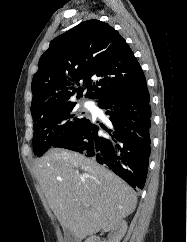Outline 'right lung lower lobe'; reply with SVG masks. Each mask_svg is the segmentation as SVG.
<instances>
[{
    "mask_svg": "<svg viewBox=\"0 0 187 242\" xmlns=\"http://www.w3.org/2000/svg\"><path fill=\"white\" fill-rule=\"evenodd\" d=\"M98 106L109 115V135H100L99 126L87 119L53 147L84 154L107 166L131 187L143 189L151 152V106L146 79L104 96Z\"/></svg>",
    "mask_w": 187,
    "mask_h": 242,
    "instance_id": "obj_1",
    "label": "right lung lower lobe"
}]
</instances>
